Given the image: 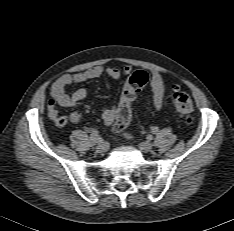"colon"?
Wrapping results in <instances>:
<instances>
[{
	"label": "colon",
	"mask_w": 234,
	"mask_h": 231,
	"mask_svg": "<svg viewBox=\"0 0 234 231\" xmlns=\"http://www.w3.org/2000/svg\"><path fill=\"white\" fill-rule=\"evenodd\" d=\"M148 74L144 71H137L128 77L121 94L119 110L116 117L115 129L121 131L127 128L132 120L133 104L138 93L148 82ZM172 100L176 110L183 116L190 118L193 113V102L190 96L183 91H174ZM57 125L65 123L63 117L56 118Z\"/></svg>",
	"instance_id": "5ec220e1"
}]
</instances>
